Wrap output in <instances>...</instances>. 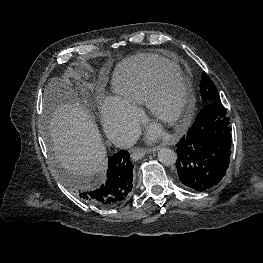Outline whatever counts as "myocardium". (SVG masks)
Wrapping results in <instances>:
<instances>
[{"label":"myocardium","instance_id":"myocardium-1","mask_svg":"<svg viewBox=\"0 0 263 263\" xmlns=\"http://www.w3.org/2000/svg\"><path fill=\"white\" fill-rule=\"evenodd\" d=\"M169 80H174L180 85L181 103L176 114L168 120H163V122L169 127L179 128L190 119L195 104L191 86L178 70L163 71L153 78L144 105L149 117L155 120L160 119L157 110V102L162 85Z\"/></svg>","mask_w":263,"mask_h":263}]
</instances>
